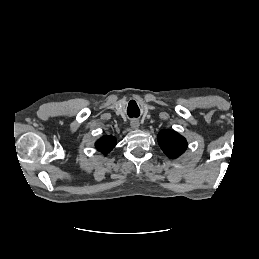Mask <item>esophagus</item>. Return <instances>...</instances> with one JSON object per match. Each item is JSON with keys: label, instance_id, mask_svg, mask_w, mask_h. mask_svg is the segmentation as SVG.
Listing matches in <instances>:
<instances>
[{"label": "esophagus", "instance_id": "obj_1", "mask_svg": "<svg viewBox=\"0 0 259 259\" xmlns=\"http://www.w3.org/2000/svg\"><path fill=\"white\" fill-rule=\"evenodd\" d=\"M139 126H140V123H139V121H138L137 119H133V120L131 121V127H132L133 129H138Z\"/></svg>", "mask_w": 259, "mask_h": 259}]
</instances>
